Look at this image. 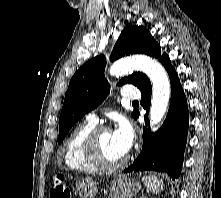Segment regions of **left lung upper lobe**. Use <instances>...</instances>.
<instances>
[{
	"instance_id": "5c2ea615",
	"label": "left lung upper lobe",
	"mask_w": 221,
	"mask_h": 198,
	"mask_svg": "<svg viewBox=\"0 0 221 198\" xmlns=\"http://www.w3.org/2000/svg\"><path fill=\"white\" fill-rule=\"evenodd\" d=\"M160 52V45L147 29L128 25L115 43L110 60L131 54H146L161 62L167 54ZM105 65V56H97L82 65L72 77L60 114L58 144L80 118L101 104L109 94L110 85L104 76ZM148 81L145 74L136 72L120 80L118 85L131 83L140 89ZM136 115L137 111H134L132 116L135 118Z\"/></svg>"
}]
</instances>
